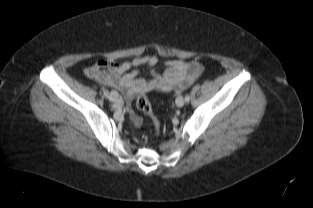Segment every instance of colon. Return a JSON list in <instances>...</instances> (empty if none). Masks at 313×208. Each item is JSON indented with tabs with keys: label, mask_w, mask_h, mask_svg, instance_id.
Returning <instances> with one entry per match:
<instances>
[{
	"label": "colon",
	"mask_w": 313,
	"mask_h": 208,
	"mask_svg": "<svg viewBox=\"0 0 313 208\" xmlns=\"http://www.w3.org/2000/svg\"><path fill=\"white\" fill-rule=\"evenodd\" d=\"M136 107L142 114L152 119L155 132L159 134L161 130V123L158 117L154 115L151 103L146 93H141L138 95L136 99Z\"/></svg>",
	"instance_id": "colon-1"
}]
</instances>
